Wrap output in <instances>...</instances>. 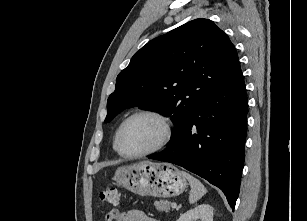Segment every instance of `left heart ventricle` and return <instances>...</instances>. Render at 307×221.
<instances>
[{"instance_id": "obj_1", "label": "left heart ventricle", "mask_w": 307, "mask_h": 221, "mask_svg": "<svg viewBox=\"0 0 307 221\" xmlns=\"http://www.w3.org/2000/svg\"><path fill=\"white\" fill-rule=\"evenodd\" d=\"M163 129L155 118L140 116L128 123L122 138L121 148L129 154L144 152L152 148L162 137Z\"/></svg>"}]
</instances>
